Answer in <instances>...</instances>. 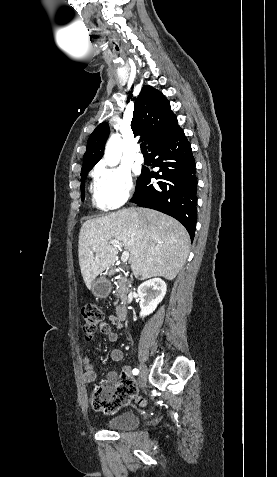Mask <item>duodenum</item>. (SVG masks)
I'll return each instance as SVG.
<instances>
[{"instance_id": "1", "label": "duodenum", "mask_w": 277, "mask_h": 477, "mask_svg": "<svg viewBox=\"0 0 277 477\" xmlns=\"http://www.w3.org/2000/svg\"><path fill=\"white\" fill-rule=\"evenodd\" d=\"M112 275L115 274V271L110 272ZM128 309L125 305H120L116 310L117 319L121 322L127 318Z\"/></svg>"}]
</instances>
